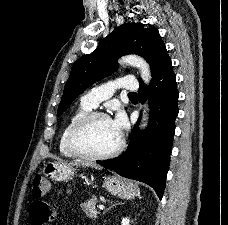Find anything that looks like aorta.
Listing matches in <instances>:
<instances>
[{"mask_svg":"<svg viewBox=\"0 0 228 225\" xmlns=\"http://www.w3.org/2000/svg\"><path fill=\"white\" fill-rule=\"evenodd\" d=\"M120 64H131V66H137L141 72V76L144 82H149L151 78L150 66L142 56H137V54H126V56H122L119 60ZM147 110H144L141 129H145L147 127Z\"/></svg>","mask_w":228,"mask_h":225,"instance_id":"aorta-1","label":"aorta"}]
</instances>
